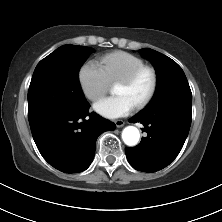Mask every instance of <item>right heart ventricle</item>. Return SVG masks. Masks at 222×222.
Masks as SVG:
<instances>
[{"mask_svg":"<svg viewBox=\"0 0 222 222\" xmlns=\"http://www.w3.org/2000/svg\"><path fill=\"white\" fill-rule=\"evenodd\" d=\"M99 64L105 71L110 83H115L143 66L144 61L133 54L115 51L100 58Z\"/></svg>","mask_w":222,"mask_h":222,"instance_id":"right-heart-ventricle-1","label":"right heart ventricle"}]
</instances>
